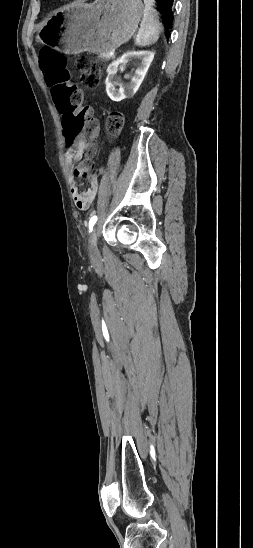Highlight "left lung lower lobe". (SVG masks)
Wrapping results in <instances>:
<instances>
[{
  "instance_id": "1",
  "label": "left lung lower lobe",
  "mask_w": 253,
  "mask_h": 548,
  "mask_svg": "<svg viewBox=\"0 0 253 548\" xmlns=\"http://www.w3.org/2000/svg\"><path fill=\"white\" fill-rule=\"evenodd\" d=\"M160 5V11L163 14V22L166 30L169 31L172 27L173 20V2L174 0H156Z\"/></svg>"
}]
</instances>
